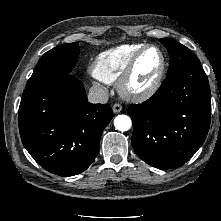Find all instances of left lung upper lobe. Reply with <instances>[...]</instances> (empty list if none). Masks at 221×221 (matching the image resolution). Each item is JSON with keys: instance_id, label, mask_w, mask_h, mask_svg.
I'll list each match as a JSON object with an SVG mask.
<instances>
[{"instance_id": "left-lung-upper-lobe-1", "label": "left lung upper lobe", "mask_w": 221, "mask_h": 221, "mask_svg": "<svg viewBox=\"0 0 221 221\" xmlns=\"http://www.w3.org/2000/svg\"><path fill=\"white\" fill-rule=\"evenodd\" d=\"M160 42L167 48L170 55V65L166 77L174 75L185 67L200 65L198 58L186 46L167 38L160 39Z\"/></svg>"}]
</instances>
